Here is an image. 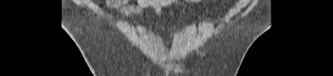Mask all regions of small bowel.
<instances>
[{
    "label": "small bowel",
    "mask_w": 333,
    "mask_h": 76,
    "mask_svg": "<svg viewBox=\"0 0 333 76\" xmlns=\"http://www.w3.org/2000/svg\"><path fill=\"white\" fill-rule=\"evenodd\" d=\"M189 0H139L134 5H127L126 0H107V6L117 11L120 15L129 16L140 14L144 10L151 9L154 11H159L161 7L165 4H178L185 5Z\"/></svg>",
    "instance_id": "c3829d8e"
}]
</instances>
